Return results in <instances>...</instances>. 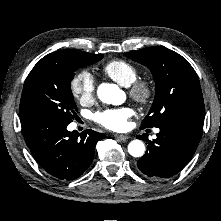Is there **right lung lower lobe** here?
Returning <instances> with one entry per match:
<instances>
[{
	"label": "right lung lower lobe",
	"mask_w": 221,
	"mask_h": 221,
	"mask_svg": "<svg viewBox=\"0 0 221 221\" xmlns=\"http://www.w3.org/2000/svg\"><path fill=\"white\" fill-rule=\"evenodd\" d=\"M20 121L25 142L38 164L52 176L68 181L89 167L96 143L105 138L93 130L69 132V123L43 113L21 114Z\"/></svg>",
	"instance_id": "1"
}]
</instances>
